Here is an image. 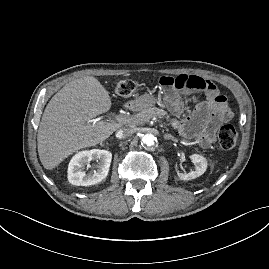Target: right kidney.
<instances>
[{
    "label": "right kidney",
    "mask_w": 269,
    "mask_h": 269,
    "mask_svg": "<svg viewBox=\"0 0 269 269\" xmlns=\"http://www.w3.org/2000/svg\"><path fill=\"white\" fill-rule=\"evenodd\" d=\"M111 160L112 154L107 150L92 149L78 152L69 163L68 180L78 186L97 184L107 177ZM91 161L97 162L93 165L94 171L86 173V165L88 169Z\"/></svg>",
    "instance_id": "1"
}]
</instances>
